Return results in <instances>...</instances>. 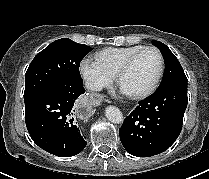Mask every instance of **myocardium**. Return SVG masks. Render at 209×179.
<instances>
[{
	"instance_id": "1",
	"label": "myocardium",
	"mask_w": 209,
	"mask_h": 179,
	"mask_svg": "<svg viewBox=\"0 0 209 179\" xmlns=\"http://www.w3.org/2000/svg\"><path fill=\"white\" fill-rule=\"evenodd\" d=\"M146 51H154L157 53V55L159 57V62H160L159 71H158L156 78L154 79V81L152 82V84L148 88H146L145 90L138 92V93L127 94L132 99H142V98H146L149 95H151L157 89V87L163 77V74H164L165 58H164V55L161 52V50L157 47H154V46H145L142 49H140L139 51L132 54L122 64V66L120 67V69L118 70V72L115 75V81H116L117 85L120 87V82H121V79L123 78V76L129 71V69L132 67V65L135 63V61L138 59V57Z\"/></svg>"
}]
</instances>
